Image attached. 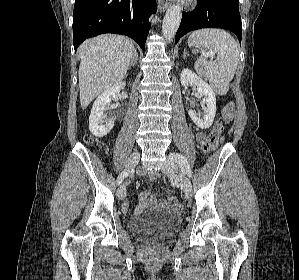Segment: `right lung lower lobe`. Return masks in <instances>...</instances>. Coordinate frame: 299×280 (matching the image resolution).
<instances>
[{
	"label": "right lung lower lobe",
	"instance_id": "98d812e1",
	"mask_svg": "<svg viewBox=\"0 0 299 280\" xmlns=\"http://www.w3.org/2000/svg\"><path fill=\"white\" fill-rule=\"evenodd\" d=\"M156 0H75L73 43L75 51L87 38L117 33L131 37L144 49L149 17Z\"/></svg>",
	"mask_w": 299,
	"mask_h": 280
}]
</instances>
